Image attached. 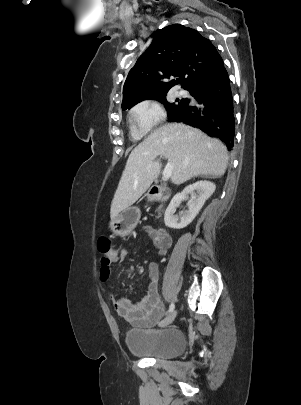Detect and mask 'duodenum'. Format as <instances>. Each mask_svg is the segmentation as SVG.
Segmentation results:
<instances>
[{
    "instance_id": "duodenum-1",
    "label": "duodenum",
    "mask_w": 301,
    "mask_h": 405,
    "mask_svg": "<svg viewBox=\"0 0 301 405\" xmlns=\"http://www.w3.org/2000/svg\"><path fill=\"white\" fill-rule=\"evenodd\" d=\"M171 192L168 188L162 186H153L148 192L147 197L150 199L151 205H156L157 203L165 202L169 199ZM158 239L157 244L160 246H167L170 244V237L164 229L157 230Z\"/></svg>"
}]
</instances>
